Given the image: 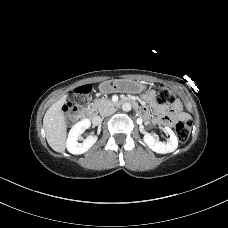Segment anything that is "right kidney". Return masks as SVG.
<instances>
[{
    "label": "right kidney",
    "mask_w": 228,
    "mask_h": 228,
    "mask_svg": "<svg viewBox=\"0 0 228 228\" xmlns=\"http://www.w3.org/2000/svg\"><path fill=\"white\" fill-rule=\"evenodd\" d=\"M91 126L89 119H83L76 123L69 131L68 138L66 141L67 150L71 154H83L88 151L97 141V136L90 135L83 140L82 143L78 142L80 135Z\"/></svg>",
    "instance_id": "ca27d5eb"
}]
</instances>
